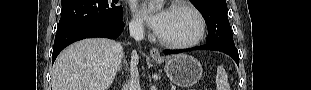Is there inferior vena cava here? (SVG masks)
Here are the masks:
<instances>
[{"mask_svg": "<svg viewBox=\"0 0 311 90\" xmlns=\"http://www.w3.org/2000/svg\"><path fill=\"white\" fill-rule=\"evenodd\" d=\"M129 32L130 36L133 37L137 41H141L144 39V28L141 23H130L129 24ZM133 52L132 50L130 51ZM130 57L129 55L127 56ZM128 68L130 71V81L128 83V88L130 90H140V80H139V73L137 69V65L133 59L128 61Z\"/></svg>", "mask_w": 311, "mask_h": 90, "instance_id": "1", "label": "inferior vena cava"}]
</instances>
